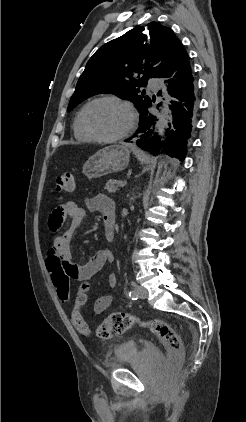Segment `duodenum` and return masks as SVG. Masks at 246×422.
<instances>
[{
	"instance_id": "410a0bca",
	"label": "duodenum",
	"mask_w": 246,
	"mask_h": 422,
	"mask_svg": "<svg viewBox=\"0 0 246 422\" xmlns=\"http://www.w3.org/2000/svg\"><path fill=\"white\" fill-rule=\"evenodd\" d=\"M105 234L108 241H113L114 239V224L111 222H106L104 225Z\"/></svg>"
}]
</instances>
